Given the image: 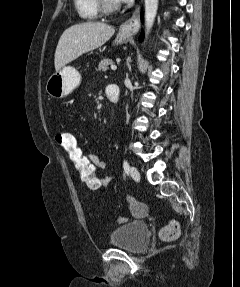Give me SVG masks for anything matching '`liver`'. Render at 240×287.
Segmentation results:
<instances>
[{"label":"liver","instance_id":"liver-1","mask_svg":"<svg viewBox=\"0 0 240 287\" xmlns=\"http://www.w3.org/2000/svg\"><path fill=\"white\" fill-rule=\"evenodd\" d=\"M115 29L102 22H85L72 25L61 35L56 51L54 65L59 71L83 53L94 50L114 34Z\"/></svg>","mask_w":240,"mask_h":287}]
</instances>
